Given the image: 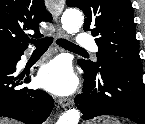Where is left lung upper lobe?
<instances>
[{
    "label": "left lung upper lobe",
    "instance_id": "obj_1",
    "mask_svg": "<svg viewBox=\"0 0 145 124\" xmlns=\"http://www.w3.org/2000/svg\"><path fill=\"white\" fill-rule=\"evenodd\" d=\"M66 4L84 12V30L95 37L97 62L83 61L91 70L122 66L142 73L130 0H66Z\"/></svg>",
    "mask_w": 145,
    "mask_h": 124
}]
</instances>
